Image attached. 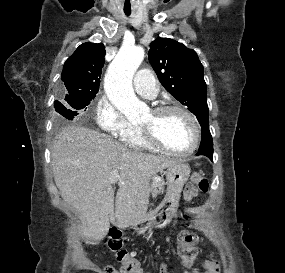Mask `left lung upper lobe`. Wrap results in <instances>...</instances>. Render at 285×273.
I'll return each mask as SVG.
<instances>
[{
    "label": "left lung upper lobe",
    "mask_w": 285,
    "mask_h": 273,
    "mask_svg": "<svg viewBox=\"0 0 285 273\" xmlns=\"http://www.w3.org/2000/svg\"><path fill=\"white\" fill-rule=\"evenodd\" d=\"M148 56L165 89L188 107L202 127L209 125L204 68L196 52L175 40L157 38Z\"/></svg>",
    "instance_id": "left-lung-upper-lobe-1"
}]
</instances>
